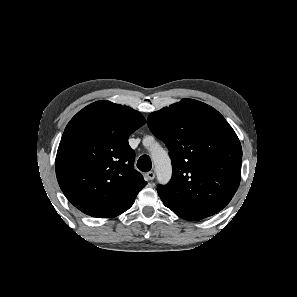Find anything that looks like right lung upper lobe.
I'll use <instances>...</instances> for the list:
<instances>
[{"mask_svg":"<svg viewBox=\"0 0 297 297\" xmlns=\"http://www.w3.org/2000/svg\"><path fill=\"white\" fill-rule=\"evenodd\" d=\"M145 118L130 107L94 102L68 123L56 156V175L67 199L83 213L112 218L128 210L146 186L134 169L131 133Z\"/></svg>","mask_w":297,"mask_h":297,"instance_id":"right-lung-upper-lobe-1","label":"right lung upper lobe"}]
</instances>
